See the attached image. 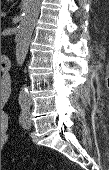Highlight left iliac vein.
Listing matches in <instances>:
<instances>
[{
	"label": "left iliac vein",
	"mask_w": 109,
	"mask_h": 170,
	"mask_svg": "<svg viewBox=\"0 0 109 170\" xmlns=\"http://www.w3.org/2000/svg\"><path fill=\"white\" fill-rule=\"evenodd\" d=\"M22 126L25 129H29L31 127V120L29 119L28 115L24 117V120L22 122Z\"/></svg>",
	"instance_id": "obj_1"
}]
</instances>
